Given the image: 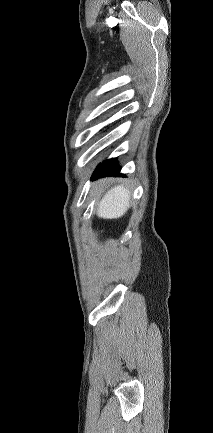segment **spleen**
<instances>
[{"instance_id": "spleen-1", "label": "spleen", "mask_w": 213, "mask_h": 433, "mask_svg": "<svg viewBox=\"0 0 213 433\" xmlns=\"http://www.w3.org/2000/svg\"><path fill=\"white\" fill-rule=\"evenodd\" d=\"M130 196V191L124 186L112 188L98 203L97 215L104 219L123 216L130 206Z\"/></svg>"}]
</instances>
